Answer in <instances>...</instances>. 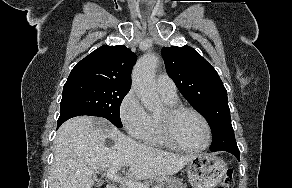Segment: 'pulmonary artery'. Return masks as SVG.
<instances>
[{"label": "pulmonary artery", "mask_w": 292, "mask_h": 188, "mask_svg": "<svg viewBox=\"0 0 292 188\" xmlns=\"http://www.w3.org/2000/svg\"><path fill=\"white\" fill-rule=\"evenodd\" d=\"M159 94L168 99L177 97V89L174 81L167 75H159L156 79Z\"/></svg>", "instance_id": "obj_1"}]
</instances>
